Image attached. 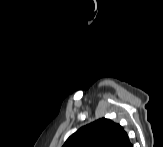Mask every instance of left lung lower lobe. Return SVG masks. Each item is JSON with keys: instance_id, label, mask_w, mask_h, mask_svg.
I'll return each instance as SVG.
<instances>
[{"instance_id": "1", "label": "left lung lower lobe", "mask_w": 163, "mask_h": 147, "mask_svg": "<svg viewBox=\"0 0 163 147\" xmlns=\"http://www.w3.org/2000/svg\"><path fill=\"white\" fill-rule=\"evenodd\" d=\"M116 147H133L129 141L128 135L126 132L122 135Z\"/></svg>"}]
</instances>
